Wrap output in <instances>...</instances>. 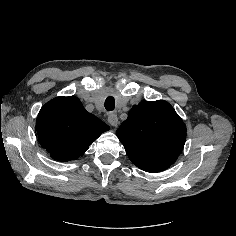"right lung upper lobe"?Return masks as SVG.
Instances as JSON below:
<instances>
[{
	"label": "right lung upper lobe",
	"mask_w": 236,
	"mask_h": 236,
	"mask_svg": "<svg viewBox=\"0 0 236 236\" xmlns=\"http://www.w3.org/2000/svg\"><path fill=\"white\" fill-rule=\"evenodd\" d=\"M40 144L55 160L81 156L109 126L88 113L74 96L57 97L40 110L36 122Z\"/></svg>",
	"instance_id": "1"
}]
</instances>
